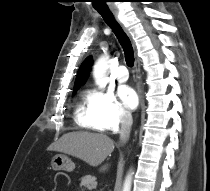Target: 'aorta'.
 <instances>
[{"label":"aorta","mask_w":210,"mask_h":191,"mask_svg":"<svg viewBox=\"0 0 210 191\" xmlns=\"http://www.w3.org/2000/svg\"><path fill=\"white\" fill-rule=\"evenodd\" d=\"M107 59L108 57L105 56L101 57L97 61L93 69L94 79L100 87H104L108 80L106 77ZM130 189H131V175H128L123 186V191H130Z\"/></svg>","instance_id":"obj_1"}]
</instances>
